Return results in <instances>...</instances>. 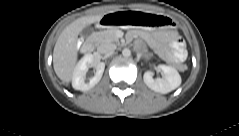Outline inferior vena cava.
<instances>
[{
  "label": "inferior vena cava",
  "mask_w": 239,
  "mask_h": 136,
  "mask_svg": "<svg viewBox=\"0 0 239 136\" xmlns=\"http://www.w3.org/2000/svg\"><path fill=\"white\" fill-rule=\"evenodd\" d=\"M98 52L102 53V54H106V53H112L116 50V45L113 43H102L98 46L97 48Z\"/></svg>",
  "instance_id": "obj_1"
}]
</instances>
